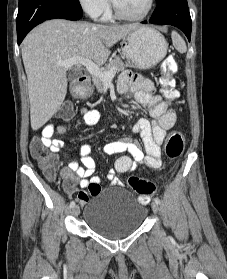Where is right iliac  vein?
<instances>
[{
	"mask_svg": "<svg viewBox=\"0 0 227 279\" xmlns=\"http://www.w3.org/2000/svg\"><path fill=\"white\" fill-rule=\"evenodd\" d=\"M72 213H73L74 216H78L79 213H80V208H79V206L73 207Z\"/></svg>",
	"mask_w": 227,
	"mask_h": 279,
	"instance_id": "63e3f726",
	"label": "right iliac vein"
}]
</instances>
